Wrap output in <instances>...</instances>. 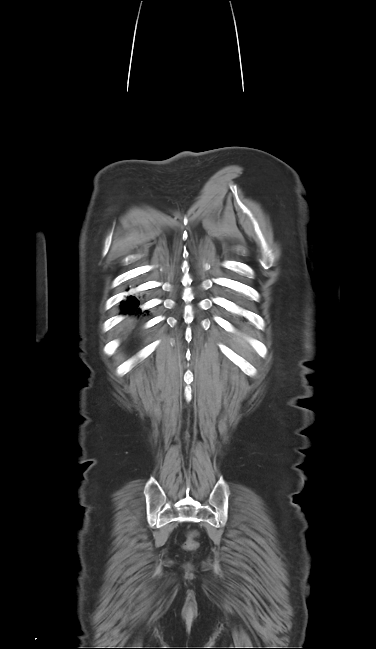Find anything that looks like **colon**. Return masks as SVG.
I'll list each match as a JSON object with an SVG mask.
<instances>
[{"label": "colon", "instance_id": "5ec220e1", "mask_svg": "<svg viewBox=\"0 0 376 649\" xmlns=\"http://www.w3.org/2000/svg\"><path fill=\"white\" fill-rule=\"evenodd\" d=\"M195 538H196V534H194V533H190V534L187 536V539H186V541H185V543H184V546H185L187 549H194V548H196V547H197V541L195 540Z\"/></svg>", "mask_w": 376, "mask_h": 649}]
</instances>
